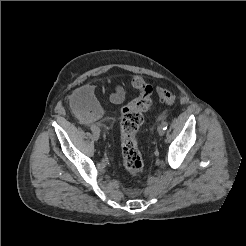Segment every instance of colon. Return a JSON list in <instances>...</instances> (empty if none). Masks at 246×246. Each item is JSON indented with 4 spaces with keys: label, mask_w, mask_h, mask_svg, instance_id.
<instances>
[{
    "label": "colon",
    "mask_w": 246,
    "mask_h": 246,
    "mask_svg": "<svg viewBox=\"0 0 246 246\" xmlns=\"http://www.w3.org/2000/svg\"><path fill=\"white\" fill-rule=\"evenodd\" d=\"M132 85L139 91V96L122 109L120 131L124 166L130 174L137 175L142 172L144 162L138 149L136 133L144 122V113L152 105L154 89L141 76H135ZM156 93L161 102L167 105L175 104V95L164 86L158 85Z\"/></svg>",
    "instance_id": "colon-1"
}]
</instances>
